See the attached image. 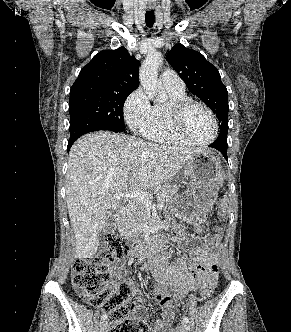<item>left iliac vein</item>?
<instances>
[{
  "mask_svg": "<svg viewBox=\"0 0 291 332\" xmlns=\"http://www.w3.org/2000/svg\"><path fill=\"white\" fill-rule=\"evenodd\" d=\"M180 332H190V327L187 323L182 322L179 328Z\"/></svg>",
  "mask_w": 291,
  "mask_h": 332,
  "instance_id": "1",
  "label": "left iliac vein"
}]
</instances>
